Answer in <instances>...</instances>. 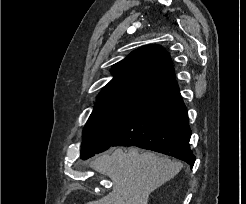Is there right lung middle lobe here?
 I'll list each match as a JSON object with an SVG mask.
<instances>
[{"label":"right lung middle lobe","mask_w":246,"mask_h":204,"mask_svg":"<svg viewBox=\"0 0 246 204\" xmlns=\"http://www.w3.org/2000/svg\"><path fill=\"white\" fill-rule=\"evenodd\" d=\"M134 99L97 101L84 129L81 158L107 150L120 129Z\"/></svg>","instance_id":"dd1d6c3e"}]
</instances>
